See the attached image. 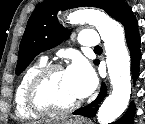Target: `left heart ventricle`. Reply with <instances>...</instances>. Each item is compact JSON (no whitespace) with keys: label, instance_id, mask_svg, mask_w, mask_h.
<instances>
[{"label":"left heart ventricle","instance_id":"obj_1","mask_svg":"<svg viewBox=\"0 0 145 124\" xmlns=\"http://www.w3.org/2000/svg\"><path fill=\"white\" fill-rule=\"evenodd\" d=\"M45 93L58 106H67L79 100L66 71L55 72L49 78Z\"/></svg>","mask_w":145,"mask_h":124}]
</instances>
